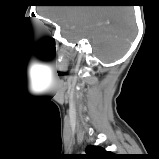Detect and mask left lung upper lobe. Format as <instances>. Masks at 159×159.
<instances>
[{"label":"left lung upper lobe","mask_w":159,"mask_h":159,"mask_svg":"<svg viewBox=\"0 0 159 159\" xmlns=\"http://www.w3.org/2000/svg\"><path fill=\"white\" fill-rule=\"evenodd\" d=\"M118 155L106 151L99 146L89 145L86 148V154L81 156V159H119Z\"/></svg>","instance_id":"obj_1"}]
</instances>
